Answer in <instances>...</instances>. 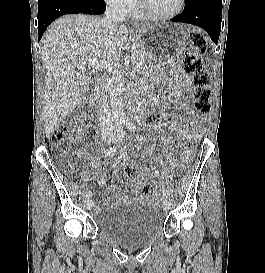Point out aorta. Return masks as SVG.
I'll use <instances>...</instances> for the list:
<instances>
[{"label": "aorta", "instance_id": "1", "mask_svg": "<svg viewBox=\"0 0 265 273\" xmlns=\"http://www.w3.org/2000/svg\"><path fill=\"white\" fill-rule=\"evenodd\" d=\"M123 92L124 88L121 83L114 87L110 96L111 112L117 126L123 125L126 121L123 106Z\"/></svg>", "mask_w": 265, "mask_h": 273}]
</instances>
